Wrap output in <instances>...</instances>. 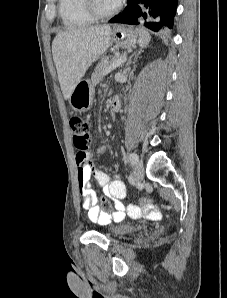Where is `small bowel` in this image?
Returning a JSON list of instances; mask_svg holds the SVG:
<instances>
[{
  "label": "small bowel",
  "mask_w": 227,
  "mask_h": 298,
  "mask_svg": "<svg viewBox=\"0 0 227 298\" xmlns=\"http://www.w3.org/2000/svg\"><path fill=\"white\" fill-rule=\"evenodd\" d=\"M77 176L79 190L83 198V210L91 221L108 222L111 219L121 220L125 216V206L120 201L125 197V185L119 176L113 179L103 170L98 169L91 160L88 152H77L76 154ZM95 178L98 185L102 188L104 194L113 201L116 212L111 216L100 209L97 196L92 188L91 179ZM127 212L141 213V209L129 204ZM143 212L156 217L158 213L154 207H144ZM134 216V215H132Z\"/></svg>",
  "instance_id": "c3829d8e"
}]
</instances>
